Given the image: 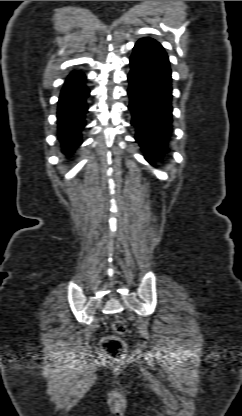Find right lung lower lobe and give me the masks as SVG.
I'll use <instances>...</instances> for the list:
<instances>
[{"instance_id": "1", "label": "right lung lower lobe", "mask_w": 242, "mask_h": 416, "mask_svg": "<svg viewBox=\"0 0 242 416\" xmlns=\"http://www.w3.org/2000/svg\"><path fill=\"white\" fill-rule=\"evenodd\" d=\"M85 79L83 73L73 71L65 81L58 101V138L62 152L68 157L81 145V132L86 125V98L90 92Z\"/></svg>"}]
</instances>
